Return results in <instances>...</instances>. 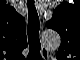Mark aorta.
I'll return each instance as SVG.
<instances>
[{
	"label": "aorta",
	"instance_id": "aorta-1",
	"mask_svg": "<svg viewBox=\"0 0 80 60\" xmlns=\"http://www.w3.org/2000/svg\"><path fill=\"white\" fill-rule=\"evenodd\" d=\"M45 39L48 47L58 48L60 46L61 39L55 32L45 34Z\"/></svg>",
	"mask_w": 80,
	"mask_h": 60
}]
</instances>
